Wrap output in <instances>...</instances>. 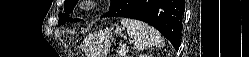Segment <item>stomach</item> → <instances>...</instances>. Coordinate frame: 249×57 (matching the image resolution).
<instances>
[{"mask_svg":"<svg viewBox=\"0 0 249 57\" xmlns=\"http://www.w3.org/2000/svg\"><path fill=\"white\" fill-rule=\"evenodd\" d=\"M120 34L121 29L116 28L115 30H105L100 33L91 34L85 40V53L87 57H106L111 42L113 41L112 34Z\"/></svg>","mask_w":249,"mask_h":57,"instance_id":"obj_1","label":"stomach"}]
</instances>
